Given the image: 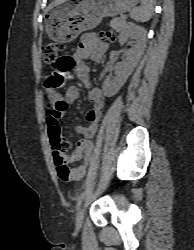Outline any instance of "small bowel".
Returning <instances> with one entry per match:
<instances>
[{"instance_id": "c3829d8e", "label": "small bowel", "mask_w": 194, "mask_h": 250, "mask_svg": "<svg viewBox=\"0 0 194 250\" xmlns=\"http://www.w3.org/2000/svg\"><path fill=\"white\" fill-rule=\"evenodd\" d=\"M107 47V43L96 33H85L81 36L74 54L69 57H63L66 60L64 65L65 77H75L81 80L88 88V99L92 104L91 109L87 111L85 116L86 124L76 128V132L82 138L78 141L77 147L72 154L65 157V162L71 171V177L68 180H80L86 174L94 148L92 138L96 132L103 109V90L91 87L88 79L89 67L84 61L102 62ZM54 71H59L58 67H54L51 72ZM45 86L47 87L48 96L54 104L49 109L46 118L49 136L52 137L55 134H61L59 119L63 116L68 106L79 99L80 90L77 86L71 85L66 88L64 96H61L55 89L48 87L46 81ZM59 101L64 103V107L58 106ZM75 162H80V164L76 167H70Z\"/></svg>"}]
</instances>
